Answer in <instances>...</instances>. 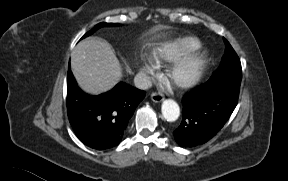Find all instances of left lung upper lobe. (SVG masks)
<instances>
[{"instance_id": "left-lung-upper-lobe-1", "label": "left lung upper lobe", "mask_w": 288, "mask_h": 181, "mask_svg": "<svg viewBox=\"0 0 288 181\" xmlns=\"http://www.w3.org/2000/svg\"><path fill=\"white\" fill-rule=\"evenodd\" d=\"M223 39L226 45L225 54L219 68L213 73L210 81L213 84H223L239 89L242 77L241 63L232 46L225 38Z\"/></svg>"}]
</instances>
